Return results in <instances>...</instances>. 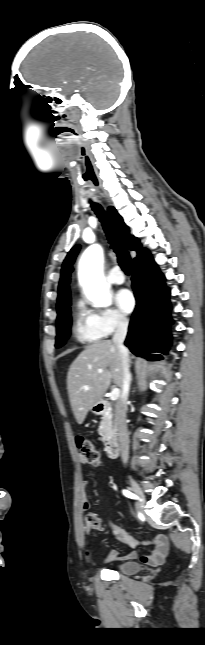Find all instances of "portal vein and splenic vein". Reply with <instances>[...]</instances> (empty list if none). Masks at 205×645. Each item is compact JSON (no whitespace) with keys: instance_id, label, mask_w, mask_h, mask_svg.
<instances>
[{"instance_id":"1","label":"portal vein and splenic vein","mask_w":205,"mask_h":645,"mask_svg":"<svg viewBox=\"0 0 205 645\" xmlns=\"http://www.w3.org/2000/svg\"><path fill=\"white\" fill-rule=\"evenodd\" d=\"M99 372L101 373L102 371H99ZM119 395H120V390L118 388H114L110 394V399L112 401H115L118 399Z\"/></svg>"}]
</instances>
